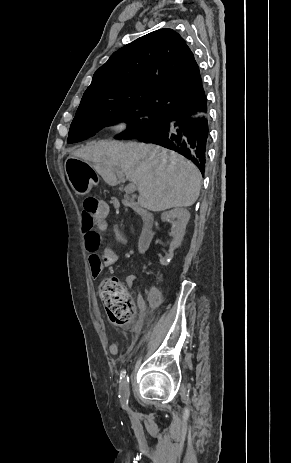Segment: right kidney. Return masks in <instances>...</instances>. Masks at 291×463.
I'll list each match as a JSON object with an SVG mask.
<instances>
[{
	"mask_svg": "<svg viewBox=\"0 0 291 463\" xmlns=\"http://www.w3.org/2000/svg\"><path fill=\"white\" fill-rule=\"evenodd\" d=\"M175 220L172 235L173 240L170 244V252H173L178 246H180L183 237L185 235L186 225L190 219V213L184 208H175L168 212H165L161 216V220Z\"/></svg>",
	"mask_w": 291,
	"mask_h": 463,
	"instance_id": "obj_1",
	"label": "right kidney"
}]
</instances>
